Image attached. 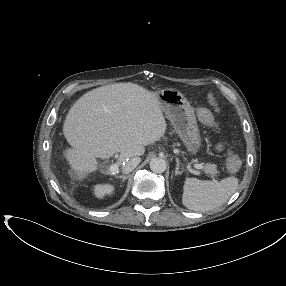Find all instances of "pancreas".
Wrapping results in <instances>:
<instances>
[{"instance_id":"cf45deb5","label":"pancreas","mask_w":286,"mask_h":286,"mask_svg":"<svg viewBox=\"0 0 286 286\" xmlns=\"http://www.w3.org/2000/svg\"><path fill=\"white\" fill-rule=\"evenodd\" d=\"M216 165L215 164H211V163H208L206 164L205 166V171L209 174H211V176H213L214 174L217 173V169H216Z\"/></svg>"}]
</instances>
